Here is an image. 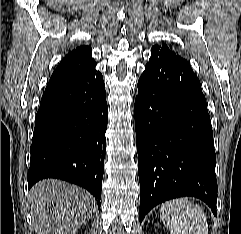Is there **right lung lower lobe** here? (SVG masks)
Listing matches in <instances>:
<instances>
[{"instance_id":"obj_1","label":"right lung lower lobe","mask_w":241,"mask_h":234,"mask_svg":"<svg viewBox=\"0 0 241 234\" xmlns=\"http://www.w3.org/2000/svg\"><path fill=\"white\" fill-rule=\"evenodd\" d=\"M95 65L48 83L36 114L28 187L58 178L87 189L100 207L108 106Z\"/></svg>"}]
</instances>
